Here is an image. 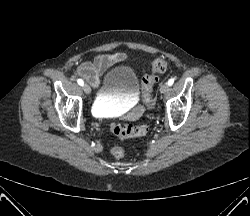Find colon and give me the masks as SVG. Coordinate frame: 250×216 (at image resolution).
<instances>
[{"label": "colon", "instance_id": "obj_1", "mask_svg": "<svg viewBox=\"0 0 250 216\" xmlns=\"http://www.w3.org/2000/svg\"><path fill=\"white\" fill-rule=\"evenodd\" d=\"M168 63L165 59L159 58L153 61L151 72L143 76L141 80V96L145 105L150 109L153 106L152 91L155 83L158 82V74L166 71ZM110 130L121 139L138 138L145 136L149 131L148 124L138 125H120L112 124ZM111 153L116 158H122L126 155V150L122 147H113Z\"/></svg>", "mask_w": 250, "mask_h": 216}]
</instances>
